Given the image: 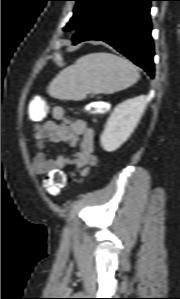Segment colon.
<instances>
[{"label": "colon", "instance_id": "1", "mask_svg": "<svg viewBox=\"0 0 180 299\" xmlns=\"http://www.w3.org/2000/svg\"><path fill=\"white\" fill-rule=\"evenodd\" d=\"M46 112H37L36 106L32 107L31 115L36 116L39 119H43ZM66 185V176L61 171H54L47 174L43 179V187L51 194L58 195Z\"/></svg>", "mask_w": 180, "mask_h": 299}]
</instances>
